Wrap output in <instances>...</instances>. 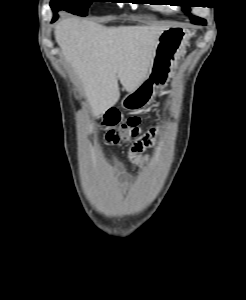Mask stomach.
<instances>
[{"label":"stomach","mask_w":246,"mask_h":300,"mask_svg":"<svg viewBox=\"0 0 246 300\" xmlns=\"http://www.w3.org/2000/svg\"><path fill=\"white\" fill-rule=\"evenodd\" d=\"M190 37V31L181 27H169L162 32L149 74L137 89L122 99L124 109L138 111L151 101L156 87L165 85L171 78L173 65L185 50Z\"/></svg>","instance_id":"obj_1"}]
</instances>
